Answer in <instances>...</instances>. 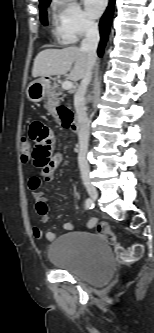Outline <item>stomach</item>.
I'll use <instances>...</instances> for the list:
<instances>
[{"label":"stomach","mask_w":154,"mask_h":333,"mask_svg":"<svg viewBox=\"0 0 154 333\" xmlns=\"http://www.w3.org/2000/svg\"><path fill=\"white\" fill-rule=\"evenodd\" d=\"M50 92V82L45 78L32 81L26 90L29 101L37 103L42 101Z\"/></svg>","instance_id":"obj_1"}]
</instances>
